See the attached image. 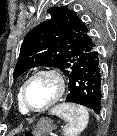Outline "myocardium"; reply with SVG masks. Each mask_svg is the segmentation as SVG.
<instances>
[{
  "label": "myocardium",
  "instance_id": "f54148a6",
  "mask_svg": "<svg viewBox=\"0 0 117 136\" xmlns=\"http://www.w3.org/2000/svg\"><path fill=\"white\" fill-rule=\"evenodd\" d=\"M42 75H46V76H49L54 79V81L56 83V87H57V92H56L55 96L53 97V99L46 106H44L41 109H34V108L30 107L27 102V97H26L27 87L33 79H35L36 77L42 76ZM65 90H66V84H65V80H64L63 76L61 75V73H59L57 70L49 69V68L40 69V70L34 72L33 74H31L26 79L24 84L22 85L21 102L28 113H43V112L49 110L52 106H54L62 98V96L65 93Z\"/></svg>",
  "mask_w": 117,
  "mask_h": 136
}]
</instances>
